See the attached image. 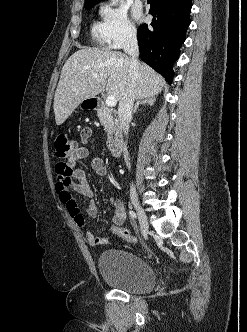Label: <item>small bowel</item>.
Listing matches in <instances>:
<instances>
[{
    "label": "small bowel",
    "instance_id": "obj_1",
    "mask_svg": "<svg viewBox=\"0 0 247 332\" xmlns=\"http://www.w3.org/2000/svg\"><path fill=\"white\" fill-rule=\"evenodd\" d=\"M81 136L83 143H87L91 136V131L89 129H83ZM89 157L91 169L98 176L106 177L108 175V170L103 159L96 155L91 156V148L86 146L77 148L72 157L64 163H58L56 166L57 179L55 189L59 195L60 201L65 205L69 214L79 227H86V217L95 218L98 214L97 204L93 198L94 194L89 187L87 174L78 166L80 160ZM72 190L89 198L84 213L81 211L78 201L74 198ZM111 204L114 211L112 220L113 226L120 227L126 217L124 202L121 199L116 198L111 201ZM86 240L91 246L105 245L108 243V239L98 237L92 232L86 233Z\"/></svg>",
    "mask_w": 247,
    "mask_h": 332
}]
</instances>
